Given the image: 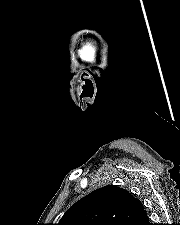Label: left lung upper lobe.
<instances>
[{
	"mask_svg": "<svg viewBox=\"0 0 180 225\" xmlns=\"http://www.w3.org/2000/svg\"><path fill=\"white\" fill-rule=\"evenodd\" d=\"M144 212L128 191L105 186L71 206L58 225H130Z\"/></svg>",
	"mask_w": 180,
	"mask_h": 225,
	"instance_id": "1",
	"label": "left lung upper lobe"
}]
</instances>
